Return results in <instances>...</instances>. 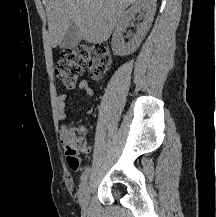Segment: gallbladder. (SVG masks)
<instances>
[{"label":"gallbladder","instance_id":"1","mask_svg":"<svg viewBox=\"0 0 216 217\" xmlns=\"http://www.w3.org/2000/svg\"><path fill=\"white\" fill-rule=\"evenodd\" d=\"M81 39L82 37L79 28L72 22L65 36L61 40L59 47L61 49L75 48L80 43Z\"/></svg>","mask_w":216,"mask_h":217}]
</instances>
